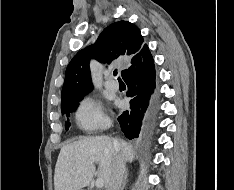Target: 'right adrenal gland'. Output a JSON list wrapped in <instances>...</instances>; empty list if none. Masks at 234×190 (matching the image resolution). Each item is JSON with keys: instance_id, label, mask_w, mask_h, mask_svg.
I'll use <instances>...</instances> for the list:
<instances>
[{"instance_id": "2a0ac1e0", "label": "right adrenal gland", "mask_w": 234, "mask_h": 190, "mask_svg": "<svg viewBox=\"0 0 234 190\" xmlns=\"http://www.w3.org/2000/svg\"><path fill=\"white\" fill-rule=\"evenodd\" d=\"M127 178H128V171H126L125 175H124V179H123V183H122V187L121 190H124L125 185L127 183Z\"/></svg>"}]
</instances>
